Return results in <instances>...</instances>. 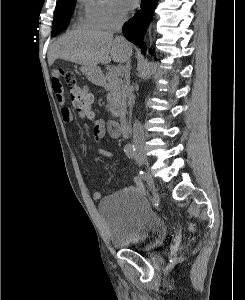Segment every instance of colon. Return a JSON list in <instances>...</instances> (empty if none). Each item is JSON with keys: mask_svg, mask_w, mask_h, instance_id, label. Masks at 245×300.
<instances>
[{"mask_svg": "<svg viewBox=\"0 0 245 300\" xmlns=\"http://www.w3.org/2000/svg\"><path fill=\"white\" fill-rule=\"evenodd\" d=\"M55 73L63 78L70 87L72 104L78 115L82 118H93V97L90 91L85 86L78 84L73 72L58 69ZM190 229L194 230L195 226L190 225Z\"/></svg>", "mask_w": 245, "mask_h": 300, "instance_id": "1", "label": "colon"}]
</instances>
